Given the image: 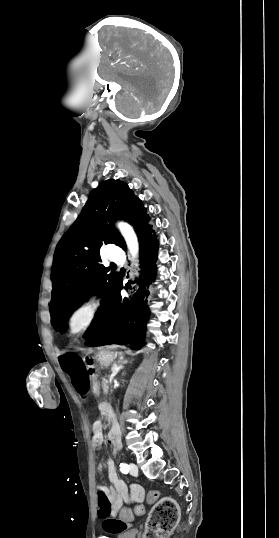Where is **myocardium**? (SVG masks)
<instances>
[{
    "label": "myocardium",
    "mask_w": 279,
    "mask_h": 538,
    "mask_svg": "<svg viewBox=\"0 0 279 538\" xmlns=\"http://www.w3.org/2000/svg\"><path fill=\"white\" fill-rule=\"evenodd\" d=\"M99 305L94 299H85L78 303L68 315L65 332L71 338L86 333L98 316Z\"/></svg>",
    "instance_id": "f54148a6"
}]
</instances>
